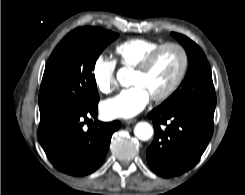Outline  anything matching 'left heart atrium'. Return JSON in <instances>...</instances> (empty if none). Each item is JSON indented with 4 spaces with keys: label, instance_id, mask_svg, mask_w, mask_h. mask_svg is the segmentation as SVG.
Masks as SVG:
<instances>
[{
    "label": "left heart atrium",
    "instance_id": "left-heart-atrium-1",
    "mask_svg": "<svg viewBox=\"0 0 245 195\" xmlns=\"http://www.w3.org/2000/svg\"><path fill=\"white\" fill-rule=\"evenodd\" d=\"M150 98L143 86L134 85L105 100L101 105V111L108 118H132L146 107Z\"/></svg>",
    "mask_w": 245,
    "mask_h": 195
}]
</instances>
